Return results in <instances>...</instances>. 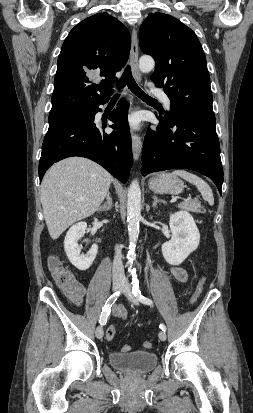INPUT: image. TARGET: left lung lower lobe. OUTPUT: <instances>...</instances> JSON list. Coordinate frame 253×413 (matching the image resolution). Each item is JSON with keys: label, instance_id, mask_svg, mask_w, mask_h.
I'll return each mask as SVG.
<instances>
[{"label": "left lung lower lobe", "instance_id": "obj_1", "mask_svg": "<svg viewBox=\"0 0 253 413\" xmlns=\"http://www.w3.org/2000/svg\"><path fill=\"white\" fill-rule=\"evenodd\" d=\"M160 117V126L148 130L142 153V175L184 168L209 177L222 192L223 169L215 123L181 116Z\"/></svg>", "mask_w": 253, "mask_h": 413}]
</instances>
